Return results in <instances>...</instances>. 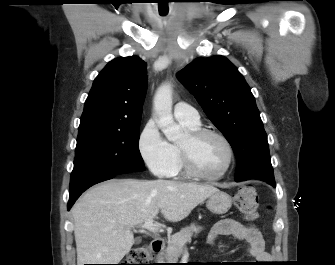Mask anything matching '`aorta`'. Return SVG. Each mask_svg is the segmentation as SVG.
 Returning a JSON list of instances; mask_svg holds the SVG:
<instances>
[{"label":"aorta","instance_id":"aorta-1","mask_svg":"<svg viewBox=\"0 0 335 265\" xmlns=\"http://www.w3.org/2000/svg\"><path fill=\"white\" fill-rule=\"evenodd\" d=\"M153 105L157 115V124L166 138L173 142L180 139L182 132L172 114V87L170 84L166 83L158 88Z\"/></svg>","mask_w":335,"mask_h":265}]
</instances>
